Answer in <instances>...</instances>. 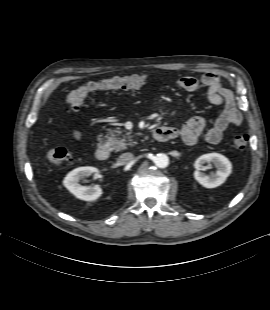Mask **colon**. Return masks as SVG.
I'll use <instances>...</instances> for the list:
<instances>
[{"label": "colon", "instance_id": "obj_1", "mask_svg": "<svg viewBox=\"0 0 270 310\" xmlns=\"http://www.w3.org/2000/svg\"><path fill=\"white\" fill-rule=\"evenodd\" d=\"M145 81L146 77L144 75H130L88 82L72 91L67 96L66 103L70 108L76 109L84 104L88 95L93 91L134 90L142 86ZM249 140L247 134H239L235 136L233 143L237 149L244 150L248 147ZM48 159L54 165H62L71 160V154L63 147H56L49 150Z\"/></svg>", "mask_w": 270, "mask_h": 310}]
</instances>
